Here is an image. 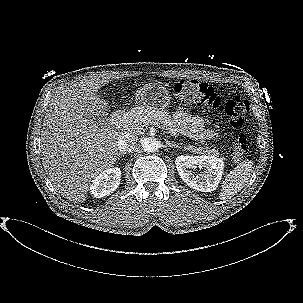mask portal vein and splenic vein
Listing matches in <instances>:
<instances>
[{"label":"portal vein and splenic vein","mask_w":303,"mask_h":303,"mask_svg":"<svg viewBox=\"0 0 303 303\" xmlns=\"http://www.w3.org/2000/svg\"><path fill=\"white\" fill-rule=\"evenodd\" d=\"M151 123H153V125H157L158 126V123H156V122H151Z\"/></svg>","instance_id":"portal-vein-and-splenic-vein-1"}]
</instances>
